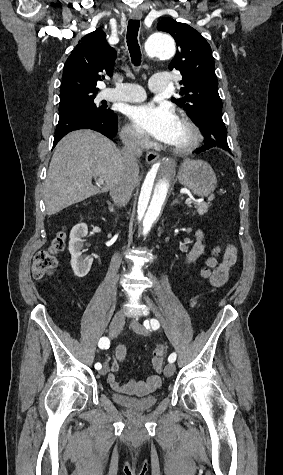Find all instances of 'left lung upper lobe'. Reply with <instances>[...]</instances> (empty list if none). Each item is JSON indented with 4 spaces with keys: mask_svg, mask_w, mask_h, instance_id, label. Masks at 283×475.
I'll return each mask as SVG.
<instances>
[{
    "mask_svg": "<svg viewBox=\"0 0 283 475\" xmlns=\"http://www.w3.org/2000/svg\"><path fill=\"white\" fill-rule=\"evenodd\" d=\"M157 29L171 34L179 47L168 68L181 72L180 84L183 87L179 94L183 97L172 98V101L183 107L196 124L207 111L222 110L214 59L208 42L191 26L169 17L161 19Z\"/></svg>",
    "mask_w": 283,
    "mask_h": 475,
    "instance_id": "1",
    "label": "left lung upper lobe"
}]
</instances>
